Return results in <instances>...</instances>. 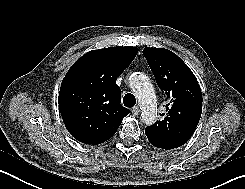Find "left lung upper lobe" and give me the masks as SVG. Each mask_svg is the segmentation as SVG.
<instances>
[{"instance_id": "5c2ea615", "label": "left lung upper lobe", "mask_w": 245, "mask_h": 189, "mask_svg": "<svg viewBox=\"0 0 245 189\" xmlns=\"http://www.w3.org/2000/svg\"><path fill=\"white\" fill-rule=\"evenodd\" d=\"M155 80L166 96V113L145 129L149 142L158 148L173 149L185 144L194 133L202 112V94L195 75L173 52L146 47Z\"/></svg>"}]
</instances>
